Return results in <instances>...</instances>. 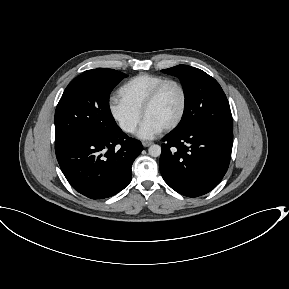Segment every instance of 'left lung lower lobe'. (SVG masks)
Returning a JSON list of instances; mask_svg holds the SVG:
<instances>
[{
  "mask_svg": "<svg viewBox=\"0 0 289 289\" xmlns=\"http://www.w3.org/2000/svg\"><path fill=\"white\" fill-rule=\"evenodd\" d=\"M160 171L176 192L198 197L210 192L223 178L232 151V131L193 126L164 136Z\"/></svg>",
  "mask_w": 289,
  "mask_h": 289,
  "instance_id": "1",
  "label": "left lung lower lobe"
}]
</instances>
